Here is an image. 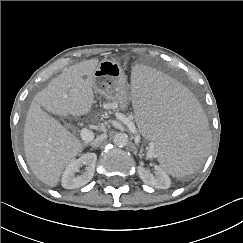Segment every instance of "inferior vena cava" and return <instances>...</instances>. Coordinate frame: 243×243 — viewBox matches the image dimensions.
<instances>
[{
    "mask_svg": "<svg viewBox=\"0 0 243 243\" xmlns=\"http://www.w3.org/2000/svg\"><path fill=\"white\" fill-rule=\"evenodd\" d=\"M106 138H107L106 134H101L100 136L96 137L91 142L92 147H98Z\"/></svg>",
    "mask_w": 243,
    "mask_h": 243,
    "instance_id": "1",
    "label": "inferior vena cava"
}]
</instances>
